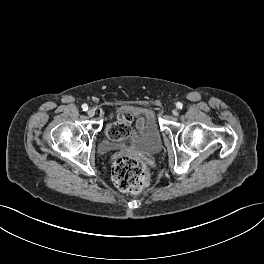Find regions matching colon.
Wrapping results in <instances>:
<instances>
[{
    "instance_id": "obj_1",
    "label": "colon",
    "mask_w": 264,
    "mask_h": 264,
    "mask_svg": "<svg viewBox=\"0 0 264 264\" xmlns=\"http://www.w3.org/2000/svg\"><path fill=\"white\" fill-rule=\"evenodd\" d=\"M130 131V117L123 115L107 132L113 139L125 137ZM112 181L122 192H139L150 184V174L145 163L137 157L123 155L112 166Z\"/></svg>"
}]
</instances>
